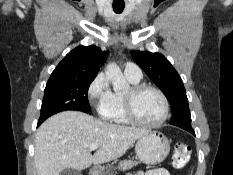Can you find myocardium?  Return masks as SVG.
<instances>
[{"label": "myocardium", "mask_w": 233, "mask_h": 175, "mask_svg": "<svg viewBox=\"0 0 233 175\" xmlns=\"http://www.w3.org/2000/svg\"><path fill=\"white\" fill-rule=\"evenodd\" d=\"M144 90H152L156 92L160 96L163 102V106H164L163 115L159 120L155 122H143L137 117L135 113V109H134L135 98L140 92ZM124 109L127 118L132 124L145 128H155V127H159L167 120L169 116L170 105L166 94L160 88L151 84L139 83L131 86V88L124 94Z\"/></svg>", "instance_id": "obj_1"}]
</instances>
